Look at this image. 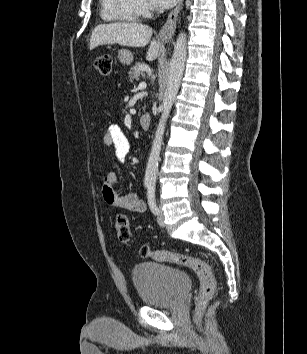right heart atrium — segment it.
Wrapping results in <instances>:
<instances>
[{"label":"right heart atrium","instance_id":"right-heart-atrium-1","mask_svg":"<svg viewBox=\"0 0 307 354\" xmlns=\"http://www.w3.org/2000/svg\"><path fill=\"white\" fill-rule=\"evenodd\" d=\"M140 15L146 16L153 10L152 0H135Z\"/></svg>","mask_w":307,"mask_h":354}]
</instances>
